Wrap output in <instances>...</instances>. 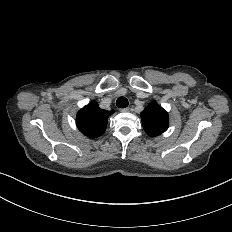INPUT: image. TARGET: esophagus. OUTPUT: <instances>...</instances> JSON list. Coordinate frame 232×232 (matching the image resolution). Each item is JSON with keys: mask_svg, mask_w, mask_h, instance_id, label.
<instances>
[{"mask_svg": "<svg viewBox=\"0 0 232 232\" xmlns=\"http://www.w3.org/2000/svg\"><path fill=\"white\" fill-rule=\"evenodd\" d=\"M120 111L126 113V112H129V108L128 107L127 108H120Z\"/></svg>", "mask_w": 232, "mask_h": 232, "instance_id": "1", "label": "esophagus"}]
</instances>
